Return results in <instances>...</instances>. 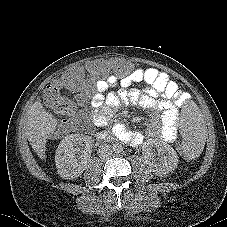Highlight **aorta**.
<instances>
[{
	"mask_svg": "<svg viewBox=\"0 0 227 227\" xmlns=\"http://www.w3.org/2000/svg\"><path fill=\"white\" fill-rule=\"evenodd\" d=\"M113 151L115 152V153H120V152H122V150H123V147H122V145L121 144H114L113 145Z\"/></svg>",
	"mask_w": 227,
	"mask_h": 227,
	"instance_id": "obj_1",
	"label": "aorta"
}]
</instances>
